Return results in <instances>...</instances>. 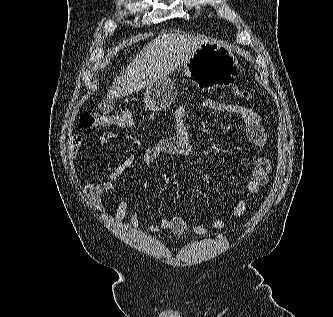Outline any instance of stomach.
Instances as JSON below:
<instances>
[{
  "label": "stomach",
  "mask_w": 333,
  "mask_h": 317,
  "mask_svg": "<svg viewBox=\"0 0 333 317\" xmlns=\"http://www.w3.org/2000/svg\"><path fill=\"white\" fill-rule=\"evenodd\" d=\"M181 67L192 83L202 90L230 85L239 70L232 50L212 40L200 44ZM176 94L174 82L164 77L147 86L143 101L149 110L161 111L171 105Z\"/></svg>",
  "instance_id": "obj_1"
}]
</instances>
